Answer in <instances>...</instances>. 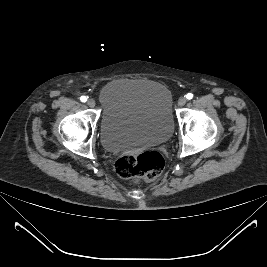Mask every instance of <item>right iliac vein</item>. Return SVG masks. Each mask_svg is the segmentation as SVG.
Wrapping results in <instances>:
<instances>
[{"label": "right iliac vein", "instance_id": "obj_1", "mask_svg": "<svg viewBox=\"0 0 267 267\" xmlns=\"http://www.w3.org/2000/svg\"><path fill=\"white\" fill-rule=\"evenodd\" d=\"M87 104L89 107L93 108V107H95L96 103H95L94 99L90 98V99H88Z\"/></svg>", "mask_w": 267, "mask_h": 267}]
</instances>
